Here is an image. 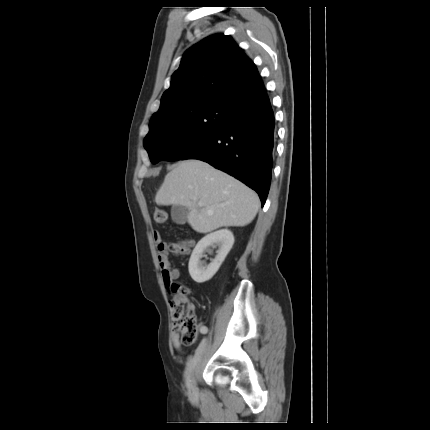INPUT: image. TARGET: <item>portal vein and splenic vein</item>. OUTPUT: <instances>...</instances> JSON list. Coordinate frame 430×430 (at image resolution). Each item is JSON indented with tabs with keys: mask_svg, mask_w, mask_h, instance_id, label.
Instances as JSON below:
<instances>
[{
	"mask_svg": "<svg viewBox=\"0 0 430 430\" xmlns=\"http://www.w3.org/2000/svg\"><path fill=\"white\" fill-rule=\"evenodd\" d=\"M197 204H198L199 206H202V205H203V203H202L201 201H198V202H197Z\"/></svg>",
	"mask_w": 430,
	"mask_h": 430,
	"instance_id": "obj_1",
	"label": "portal vein and splenic vein"
}]
</instances>
